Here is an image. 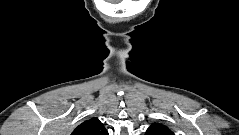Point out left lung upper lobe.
Masks as SVG:
<instances>
[{
	"instance_id": "obj_1",
	"label": "left lung upper lobe",
	"mask_w": 239,
	"mask_h": 135,
	"mask_svg": "<svg viewBox=\"0 0 239 135\" xmlns=\"http://www.w3.org/2000/svg\"><path fill=\"white\" fill-rule=\"evenodd\" d=\"M146 135H174V133L162 124H152L146 131Z\"/></svg>"
}]
</instances>
